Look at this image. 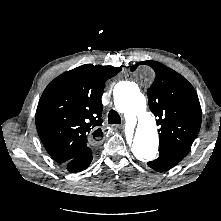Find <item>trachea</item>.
Wrapping results in <instances>:
<instances>
[{
	"mask_svg": "<svg viewBox=\"0 0 221 221\" xmlns=\"http://www.w3.org/2000/svg\"><path fill=\"white\" fill-rule=\"evenodd\" d=\"M108 122L109 124H121V117L115 110H110L108 113Z\"/></svg>",
	"mask_w": 221,
	"mask_h": 221,
	"instance_id": "obj_1",
	"label": "trachea"
}]
</instances>
